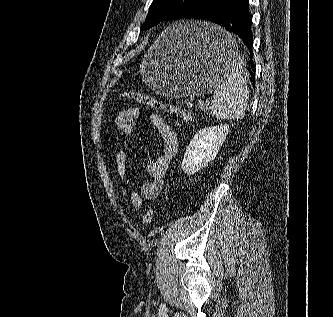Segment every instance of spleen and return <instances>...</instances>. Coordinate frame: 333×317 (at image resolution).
Wrapping results in <instances>:
<instances>
[{
	"instance_id": "1",
	"label": "spleen",
	"mask_w": 333,
	"mask_h": 317,
	"mask_svg": "<svg viewBox=\"0 0 333 317\" xmlns=\"http://www.w3.org/2000/svg\"><path fill=\"white\" fill-rule=\"evenodd\" d=\"M214 43L225 48L230 58L227 70L213 93L209 111L218 119L240 120L248 105L249 91L246 82L247 71L243 58L236 52V43L221 27L214 25Z\"/></svg>"
}]
</instances>
